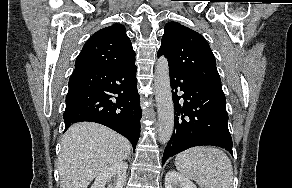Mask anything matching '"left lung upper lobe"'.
Segmentation results:
<instances>
[{
	"label": "left lung upper lobe",
	"instance_id": "5c2ea615",
	"mask_svg": "<svg viewBox=\"0 0 292 188\" xmlns=\"http://www.w3.org/2000/svg\"><path fill=\"white\" fill-rule=\"evenodd\" d=\"M160 55L168 59L170 71L222 88L215 57L198 32L178 22L167 23L158 51Z\"/></svg>",
	"mask_w": 292,
	"mask_h": 188
}]
</instances>
